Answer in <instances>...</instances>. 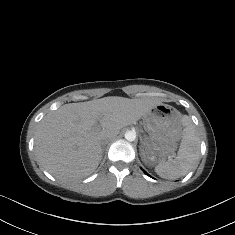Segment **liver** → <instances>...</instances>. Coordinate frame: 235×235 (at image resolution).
Here are the masks:
<instances>
[{"instance_id": "obj_1", "label": "liver", "mask_w": 235, "mask_h": 235, "mask_svg": "<svg viewBox=\"0 0 235 235\" xmlns=\"http://www.w3.org/2000/svg\"><path fill=\"white\" fill-rule=\"evenodd\" d=\"M161 103L154 97H106L65 104L48 113L35 129L37 164L63 182L85 178L102 159L101 141L105 137H116L121 129L135 124ZM97 121L100 125L95 130Z\"/></svg>"}]
</instances>
